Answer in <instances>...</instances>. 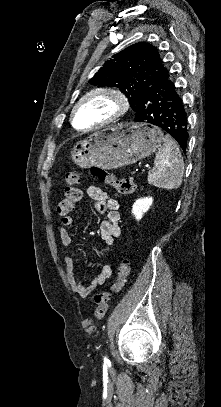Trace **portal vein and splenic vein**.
I'll use <instances>...</instances> for the list:
<instances>
[{
	"instance_id": "portal-vein-and-splenic-vein-1",
	"label": "portal vein and splenic vein",
	"mask_w": 221,
	"mask_h": 407,
	"mask_svg": "<svg viewBox=\"0 0 221 407\" xmlns=\"http://www.w3.org/2000/svg\"><path fill=\"white\" fill-rule=\"evenodd\" d=\"M150 167L146 168V169H142V172L145 173L147 170H149Z\"/></svg>"
}]
</instances>
